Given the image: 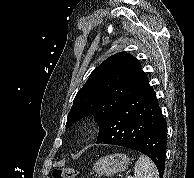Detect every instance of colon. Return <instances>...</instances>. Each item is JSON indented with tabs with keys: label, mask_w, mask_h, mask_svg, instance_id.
Returning <instances> with one entry per match:
<instances>
[{
	"label": "colon",
	"mask_w": 194,
	"mask_h": 178,
	"mask_svg": "<svg viewBox=\"0 0 194 178\" xmlns=\"http://www.w3.org/2000/svg\"><path fill=\"white\" fill-rule=\"evenodd\" d=\"M77 174V170L72 167L55 168L52 178H76Z\"/></svg>",
	"instance_id": "1"
}]
</instances>
